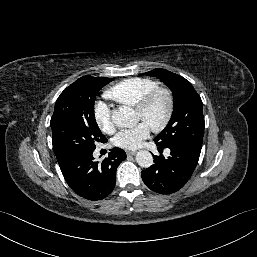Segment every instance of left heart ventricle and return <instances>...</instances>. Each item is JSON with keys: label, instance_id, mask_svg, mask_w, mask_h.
Masks as SVG:
<instances>
[{"label": "left heart ventricle", "instance_id": "1", "mask_svg": "<svg viewBox=\"0 0 257 257\" xmlns=\"http://www.w3.org/2000/svg\"><path fill=\"white\" fill-rule=\"evenodd\" d=\"M166 112V102L163 97H158L149 109L141 114L136 111V117L138 120L146 122L149 126L159 124Z\"/></svg>", "mask_w": 257, "mask_h": 257}]
</instances>
